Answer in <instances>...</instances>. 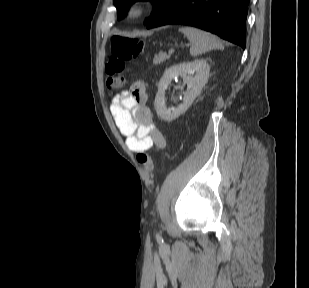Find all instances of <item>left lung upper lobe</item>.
<instances>
[{"label":"left lung upper lobe","mask_w":309,"mask_h":288,"mask_svg":"<svg viewBox=\"0 0 309 288\" xmlns=\"http://www.w3.org/2000/svg\"><path fill=\"white\" fill-rule=\"evenodd\" d=\"M118 11V19H121L129 10L131 4L138 0H113ZM171 0H151L153 2V12L149 18L156 16Z\"/></svg>","instance_id":"5c2ea615"}]
</instances>
